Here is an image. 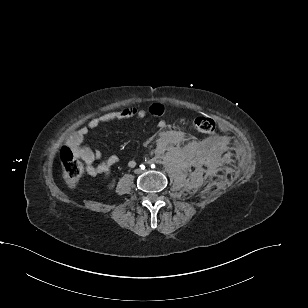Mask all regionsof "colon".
<instances>
[{
  "label": "colon",
  "instance_id": "obj_1",
  "mask_svg": "<svg viewBox=\"0 0 308 308\" xmlns=\"http://www.w3.org/2000/svg\"><path fill=\"white\" fill-rule=\"evenodd\" d=\"M193 123L196 130L204 134H212L216 129L214 119L207 115L197 116ZM60 162L66 183L74 188L83 174L81 161L75 157L71 148L65 146L60 151Z\"/></svg>",
  "mask_w": 308,
  "mask_h": 308
}]
</instances>
